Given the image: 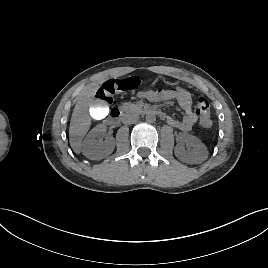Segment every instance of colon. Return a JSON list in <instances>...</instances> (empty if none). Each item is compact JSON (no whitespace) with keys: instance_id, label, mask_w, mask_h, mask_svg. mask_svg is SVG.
<instances>
[{"instance_id":"5ec220e1","label":"colon","mask_w":268,"mask_h":268,"mask_svg":"<svg viewBox=\"0 0 268 268\" xmlns=\"http://www.w3.org/2000/svg\"><path fill=\"white\" fill-rule=\"evenodd\" d=\"M140 81L137 77L126 79H112L106 81L98 90L96 97L103 102H111L115 94L132 90L138 87ZM195 112L199 116V123L204 129H209L212 125L210 116V105L202 97L197 100Z\"/></svg>"}]
</instances>
